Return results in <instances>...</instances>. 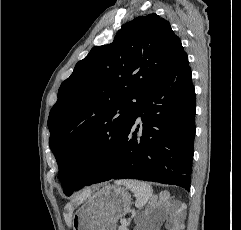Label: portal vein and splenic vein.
<instances>
[{"instance_id": "18ae733b", "label": "portal vein and splenic vein", "mask_w": 241, "mask_h": 230, "mask_svg": "<svg viewBox=\"0 0 241 230\" xmlns=\"http://www.w3.org/2000/svg\"><path fill=\"white\" fill-rule=\"evenodd\" d=\"M121 224H122V225H126V224H127V221H126L125 219H122V220H121Z\"/></svg>"}]
</instances>
